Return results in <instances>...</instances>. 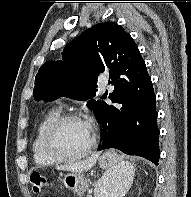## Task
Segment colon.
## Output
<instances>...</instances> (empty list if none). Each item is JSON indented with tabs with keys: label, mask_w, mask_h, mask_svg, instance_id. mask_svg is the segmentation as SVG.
Instances as JSON below:
<instances>
[{
	"label": "colon",
	"mask_w": 191,
	"mask_h": 197,
	"mask_svg": "<svg viewBox=\"0 0 191 197\" xmlns=\"http://www.w3.org/2000/svg\"><path fill=\"white\" fill-rule=\"evenodd\" d=\"M30 180L35 193H42L45 190L47 186V179L43 175L39 173H32Z\"/></svg>",
	"instance_id": "5ec220e1"
}]
</instances>
